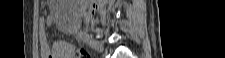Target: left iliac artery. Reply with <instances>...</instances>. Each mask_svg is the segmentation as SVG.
Here are the masks:
<instances>
[{
    "label": "left iliac artery",
    "instance_id": "obj_1",
    "mask_svg": "<svg viewBox=\"0 0 225 58\" xmlns=\"http://www.w3.org/2000/svg\"><path fill=\"white\" fill-rule=\"evenodd\" d=\"M80 33H81V35L83 36L84 39H86L88 37L86 31H81Z\"/></svg>",
    "mask_w": 225,
    "mask_h": 58
}]
</instances>
